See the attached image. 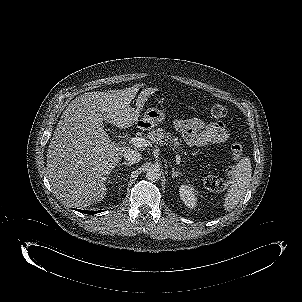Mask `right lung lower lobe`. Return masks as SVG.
<instances>
[{
    "mask_svg": "<svg viewBox=\"0 0 302 302\" xmlns=\"http://www.w3.org/2000/svg\"><path fill=\"white\" fill-rule=\"evenodd\" d=\"M79 211L82 212V213H85V214H96V213L101 212V211H84V210H79Z\"/></svg>",
    "mask_w": 302,
    "mask_h": 302,
    "instance_id": "98d812e1",
    "label": "right lung lower lobe"
}]
</instances>
